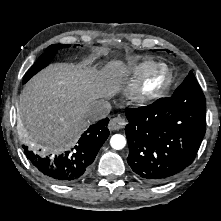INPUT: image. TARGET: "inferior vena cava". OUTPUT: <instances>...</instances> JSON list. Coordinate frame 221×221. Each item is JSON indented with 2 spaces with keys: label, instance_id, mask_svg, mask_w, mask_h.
<instances>
[{
  "label": "inferior vena cava",
  "instance_id": "inferior-vena-cava-1",
  "mask_svg": "<svg viewBox=\"0 0 221 221\" xmlns=\"http://www.w3.org/2000/svg\"><path fill=\"white\" fill-rule=\"evenodd\" d=\"M111 110V105L108 101L97 100L93 102L86 113V117L90 121H98L108 116Z\"/></svg>",
  "mask_w": 221,
  "mask_h": 221
}]
</instances>
